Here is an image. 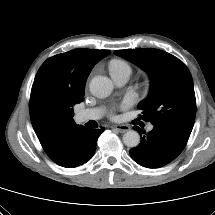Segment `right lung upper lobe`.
Masks as SVG:
<instances>
[{"label":"right lung upper lobe","instance_id":"right-lung-upper-lobe-1","mask_svg":"<svg viewBox=\"0 0 215 215\" xmlns=\"http://www.w3.org/2000/svg\"><path fill=\"white\" fill-rule=\"evenodd\" d=\"M109 52L74 49L47 59L40 67L30 95V118L43 149L52 160L61 155L73 132L83 127L74 122L72 106L83 101L91 68ZM43 91L56 97V107L42 103Z\"/></svg>","mask_w":215,"mask_h":215}]
</instances>
